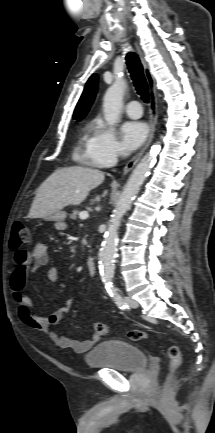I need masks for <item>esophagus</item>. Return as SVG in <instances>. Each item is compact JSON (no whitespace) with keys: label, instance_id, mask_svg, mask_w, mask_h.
Returning <instances> with one entry per match:
<instances>
[{"label":"esophagus","instance_id":"34e87169","mask_svg":"<svg viewBox=\"0 0 215 433\" xmlns=\"http://www.w3.org/2000/svg\"><path fill=\"white\" fill-rule=\"evenodd\" d=\"M136 48H137L138 54L140 56L141 63L143 65L144 75H145V78H146V81H147L148 87H149V97H150L149 134H148L147 141H146L145 145L143 146V148L134 157H132L128 161L126 166L124 167L123 176L128 174L133 169V167L136 165V163L142 157L145 150L150 145V143L154 137L155 128H156L157 119H158V101H157V93H156V87H155V79H154V77L150 71L149 65L146 62L141 49L139 48V46L137 44H136Z\"/></svg>","mask_w":215,"mask_h":433}]
</instances>
